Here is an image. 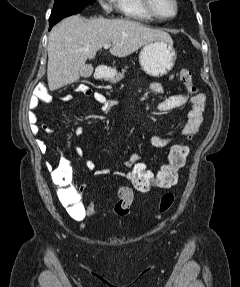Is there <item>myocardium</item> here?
Masks as SVG:
<instances>
[{
	"label": "myocardium",
	"instance_id": "1",
	"mask_svg": "<svg viewBox=\"0 0 240 287\" xmlns=\"http://www.w3.org/2000/svg\"><path fill=\"white\" fill-rule=\"evenodd\" d=\"M143 2V6L145 8V10L147 11V13L149 15H151L153 18L160 20V21H168L171 20L173 18H175L178 13H179V1L178 0H173L174 5H175V12L173 15L171 16H164L161 15L155 8L154 6V1L153 0H142Z\"/></svg>",
	"mask_w": 240,
	"mask_h": 287
}]
</instances>
